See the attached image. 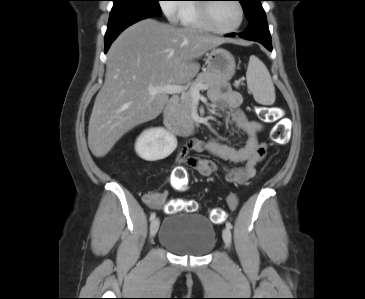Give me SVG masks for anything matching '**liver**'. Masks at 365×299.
Wrapping results in <instances>:
<instances>
[{
    "label": "liver",
    "instance_id": "liver-1",
    "mask_svg": "<svg viewBox=\"0 0 365 299\" xmlns=\"http://www.w3.org/2000/svg\"><path fill=\"white\" fill-rule=\"evenodd\" d=\"M225 42L153 19L123 31L107 54L105 82L91 113L88 146L92 154L104 157L125 133L159 116L168 95H151L149 88L190 82L200 70L194 60Z\"/></svg>",
    "mask_w": 365,
    "mask_h": 299
}]
</instances>
